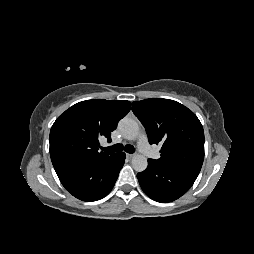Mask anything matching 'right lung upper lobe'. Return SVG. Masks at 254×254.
<instances>
[{
    "label": "right lung upper lobe",
    "mask_w": 254,
    "mask_h": 254,
    "mask_svg": "<svg viewBox=\"0 0 254 254\" xmlns=\"http://www.w3.org/2000/svg\"><path fill=\"white\" fill-rule=\"evenodd\" d=\"M126 100L93 99L79 102L54 122L50 131V156L53 166L72 160H98L115 153L99 151V141H111L116 129L129 111Z\"/></svg>",
    "instance_id": "1"
}]
</instances>
